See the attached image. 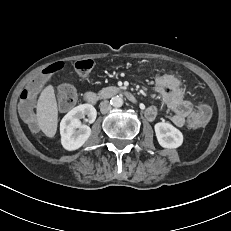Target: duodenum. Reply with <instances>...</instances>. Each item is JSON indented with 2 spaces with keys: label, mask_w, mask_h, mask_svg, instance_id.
Masks as SVG:
<instances>
[{
  "label": "duodenum",
  "mask_w": 231,
  "mask_h": 231,
  "mask_svg": "<svg viewBox=\"0 0 231 231\" xmlns=\"http://www.w3.org/2000/svg\"><path fill=\"white\" fill-rule=\"evenodd\" d=\"M118 94H124L130 100L135 101V97L133 96V94H131L126 90H123L122 88L115 87V86L103 88L98 92H92V91L87 92L85 94V100L87 103L91 105H95L100 100L108 99Z\"/></svg>",
  "instance_id": "410a0bca"
}]
</instances>
